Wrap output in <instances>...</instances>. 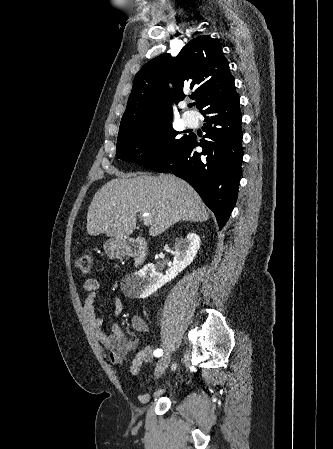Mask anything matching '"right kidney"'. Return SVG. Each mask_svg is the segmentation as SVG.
<instances>
[{"label": "right kidney", "instance_id": "obj_1", "mask_svg": "<svg viewBox=\"0 0 333 449\" xmlns=\"http://www.w3.org/2000/svg\"><path fill=\"white\" fill-rule=\"evenodd\" d=\"M200 237L195 233H189L184 244H177L172 266L163 275L157 272L154 264L145 265L135 273L136 294L140 298H146L160 289L164 284L174 279L188 265H190L200 248Z\"/></svg>", "mask_w": 333, "mask_h": 449}]
</instances>
